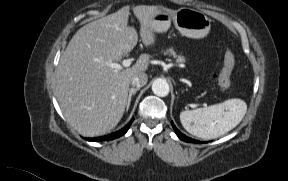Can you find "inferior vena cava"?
<instances>
[{
  "label": "inferior vena cava",
  "mask_w": 288,
  "mask_h": 181,
  "mask_svg": "<svg viewBox=\"0 0 288 181\" xmlns=\"http://www.w3.org/2000/svg\"><path fill=\"white\" fill-rule=\"evenodd\" d=\"M148 77L146 73H139L132 78L131 84L133 87H143L146 85Z\"/></svg>",
  "instance_id": "obj_1"
}]
</instances>
